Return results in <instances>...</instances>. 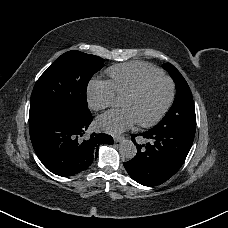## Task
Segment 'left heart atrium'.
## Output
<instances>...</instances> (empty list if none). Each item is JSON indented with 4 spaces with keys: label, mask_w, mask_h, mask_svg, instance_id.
Wrapping results in <instances>:
<instances>
[{
    "label": "left heart atrium",
    "mask_w": 228,
    "mask_h": 228,
    "mask_svg": "<svg viewBox=\"0 0 228 228\" xmlns=\"http://www.w3.org/2000/svg\"><path fill=\"white\" fill-rule=\"evenodd\" d=\"M134 121V114L127 108L122 111H111L99 118L103 129L110 133H119L129 127Z\"/></svg>",
    "instance_id": "obj_1"
}]
</instances>
